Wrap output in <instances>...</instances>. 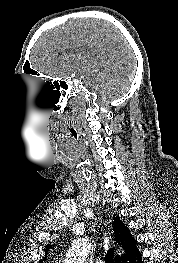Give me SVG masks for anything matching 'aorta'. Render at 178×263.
Returning <instances> with one entry per match:
<instances>
[{
	"mask_svg": "<svg viewBox=\"0 0 178 263\" xmlns=\"http://www.w3.org/2000/svg\"><path fill=\"white\" fill-rule=\"evenodd\" d=\"M90 251V243L87 238L76 239L69 249L64 263H85Z\"/></svg>",
	"mask_w": 178,
	"mask_h": 263,
	"instance_id": "762f6f07",
	"label": "aorta"
}]
</instances>
